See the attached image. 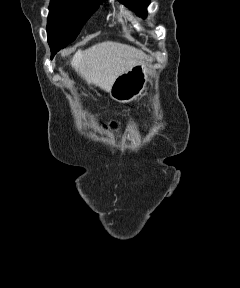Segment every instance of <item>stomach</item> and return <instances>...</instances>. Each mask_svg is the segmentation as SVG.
Here are the masks:
<instances>
[{
	"instance_id": "obj_1",
	"label": "stomach",
	"mask_w": 240,
	"mask_h": 288,
	"mask_svg": "<svg viewBox=\"0 0 240 288\" xmlns=\"http://www.w3.org/2000/svg\"><path fill=\"white\" fill-rule=\"evenodd\" d=\"M147 80V65L139 62L114 81L110 89V97L119 103L132 102L142 94Z\"/></svg>"
}]
</instances>
